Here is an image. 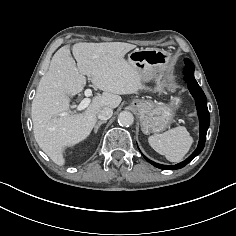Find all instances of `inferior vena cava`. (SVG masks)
I'll list each match as a JSON object with an SVG mask.
<instances>
[{
  "mask_svg": "<svg viewBox=\"0 0 236 236\" xmlns=\"http://www.w3.org/2000/svg\"><path fill=\"white\" fill-rule=\"evenodd\" d=\"M112 114H113L112 108L103 107L98 111L97 116L100 120H108L109 118H111Z\"/></svg>",
  "mask_w": 236,
  "mask_h": 236,
  "instance_id": "inferior-vena-cava-1",
  "label": "inferior vena cava"
}]
</instances>
